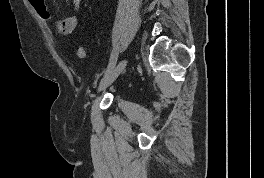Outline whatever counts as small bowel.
<instances>
[{"mask_svg":"<svg viewBox=\"0 0 264 178\" xmlns=\"http://www.w3.org/2000/svg\"><path fill=\"white\" fill-rule=\"evenodd\" d=\"M82 0H72V13L63 19L53 21L58 33L63 36L70 35L78 25V12Z\"/></svg>","mask_w":264,"mask_h":178,"instance_id":"c3829d8e","label":"small bowel"}]
</instances>
